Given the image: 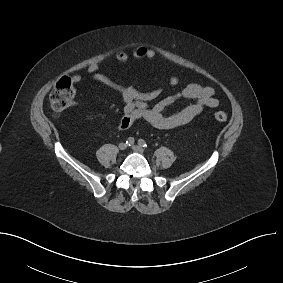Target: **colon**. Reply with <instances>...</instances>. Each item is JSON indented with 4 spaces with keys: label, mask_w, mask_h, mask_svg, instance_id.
Listing matches in <instances>:
<instances>
[{
    "label": "colon",
    "mask_w": 283,
    "mask_h": 283,
    "mask_svg": "<svg viewBox=\"0 0 283 283\" xmlns=\"http://www.w3.org/2000/svg\"><path fill=\"white\" fill-rule=\"evenodd\" d=\"M75 96V87L69 77L61 78L50 93V105L54 113L59 114L67 109ZM214 117L219 122H225L228 115L224 111H216Z\"/></svg>",
    "instance_id": "obj_1"
}]
</instances>
